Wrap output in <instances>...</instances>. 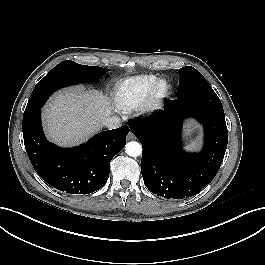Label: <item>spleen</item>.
<instances>
[{
  "label": "spleen",
  "instance_id": "3e777b00",
  "mask_svg": "<svg viewBox=\"0 0 265 265\" xmlns=\"http://www.w3.org/2000/svg\"><path fill=\"white\" fill-rule=\"evenodd\" d=\"M185 149L187 151H195L197 149V143L196 142H192L191 144L187 145L185 147Z\"/></svg>",
  "mask_w": 265,
  "mask_h": 265
}]
</instances>
